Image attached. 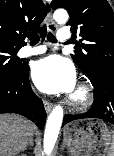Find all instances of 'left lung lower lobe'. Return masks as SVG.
Segmentation results:
<instances>
[{
    "label": "left lung lower lobe",
    "instance_id": "obj_1",
    "mask_svg": "<svg viewBox=\"0 0 114 156\" xmlns=\"http://www.w3.org/2000/svg\"><path fill=\"white\" fill-rule=\"evenodd\" d=\"M91 83L94 87V103L91 109L79 115H65L62 126L83 118H99L114 124V77H104Z\"/></svg>",
    "mask_w": 114,
    "mask_h": 156
}]
</instances>
